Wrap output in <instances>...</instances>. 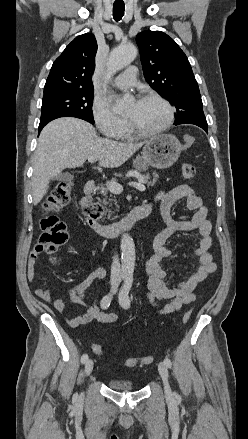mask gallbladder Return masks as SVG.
Instances as JSON below:
<instances>
[{"label":"gallbladder","instance_id":"gallbladder-1","mask_svg":"<svg viewBox=\"0 0 248 439\" xmlns=\"http://www.w3.org/2000/svg\"><path fill=\"white\" fill-rule=\"evenodd\" d=\"M52 179L56 180V181H64V180L73 179V176L69 173H60V174L56 175L55 177H53Z\"/></svg>","mask_w":248,"mask_h":439}]
</instances>
